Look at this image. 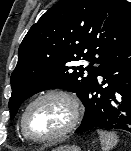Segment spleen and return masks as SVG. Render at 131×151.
<instances>
[{
  "label": "spleen",
  "instance_id": "spleen-1",
  "mask_svg": "<svg viewBox=\"0 0 131 151\" xmlns=\"http://www.w3.org/2000/svg\"><path fill=\"white\" fill-rule=\"evenodd\" d=\"M97 133L100 138L102 151H110L114 146L118 143V137L115 133L105 131V130H97Z\"/></svg>",
  "mask_w": 131,
  "mask_h": 151
}]
</instances>
